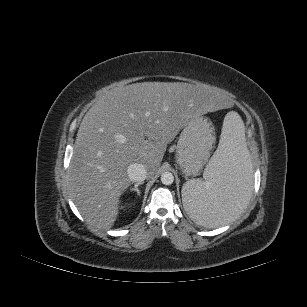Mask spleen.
<instances>
[{
	"instance_id": "obj_1",
	"label": "spleen",
	"mask_w": 307,
	"mask_h": 307,
	"mask_svg": "<svg viewBox=\"0 0 307 307\" xmlns=\"http://www.w3.org/2000/svg\"><path fill=\"white\" fill-rule=\"evenodd\" d=\"M203 178L190 179L182 187L188 215L207 228L233 221L247 206L253 184L245 127L236 112L225 116L219 145Z\"/></svg>"
}]
</instances>
